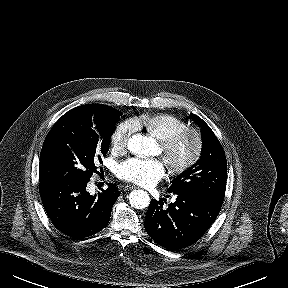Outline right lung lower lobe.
<instances>
[{"label":"right lung lower lobe","mask_w":288,"mask_h":288,"mask_svg":"<svg viewBox=\"0 0 288 288\" xmlns=\"http://www.w3.org/2000/svg\"><path fill=\"white\" fill-rule=\"evenodd\" d=\"M86 183H40V196L47 215L57 229L73 239L91 236L107 226L120 192L114 184L98 195L86 191Z\"/></svg>","instance_id":"1"}]
</instances>
